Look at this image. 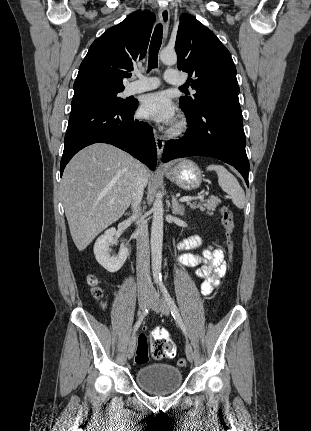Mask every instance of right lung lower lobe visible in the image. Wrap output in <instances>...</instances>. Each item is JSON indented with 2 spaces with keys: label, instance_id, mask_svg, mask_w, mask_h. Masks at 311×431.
I'll use <instances>...</instances> for the list:
<instances>
[{
  "label": "right lung lower lobe",
  "instance_id": "98d812e1",
  "mask_svg": "<svg viewBox=\"0 0 311 431\" xmlns=\"http://www.w3.org/2000/svg\"><path fill=\"white\" fill-rule=\"evenodd\" d=\"M138 103L130 109L105 105H86L71 109L65 135L60 173L82 148L97 142L112 144L154 170L157 161L152 128L134 120Z\"/></svg>",
  "mask_w": 311,
  "mask_h": 431
}]
</instances>
